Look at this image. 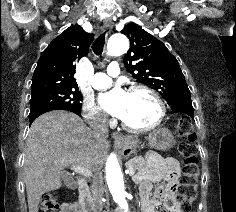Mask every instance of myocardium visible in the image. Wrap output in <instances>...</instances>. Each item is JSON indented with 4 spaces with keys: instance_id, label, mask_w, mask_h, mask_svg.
Wrapping results in <instances>:
<instances>
[{
    "instance_id": "obj_1",
    "label": "myocardium",
    "mask_w": 236,
    "mask_h": 212,
    "mask_svg": "<svg viewBox=\"0 0 236 212\" xmlns=\"http://www.w3.org/2000/svg\"><path fill=\"white\" fill-rule=\"evenodd\" d=\"M135 91L145 92L155 100V102L158 106V116L152 124H150L146 127H140V128L132 127V126L128 125L122 119H121V125L126 131H128L130 133H135V134L147 133V132H150V131L156 129L162 123V121L166 115V106H165V103H164L162 97L159 95V93L147 85L134 84L129 88L128 93H132Z\"/></svg>"
}]
</instances>
